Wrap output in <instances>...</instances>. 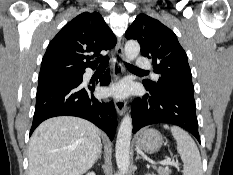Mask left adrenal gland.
<instances>
[{"mask_svg":"<svg viewBox=\"0 0 233 175\" xmlns=\"http://www.w3.org/2000/svg\"><path fill=\"white\" fill-rule=\"evenodd\" d=\"M139 159H141V157L139 156V154H137L135 160L137 161V160H139Z\"/></svg>","mask_w":233,"mask_h":175,"instance_id":"a2214340","label":"left adrenal gland"}]
</instances>
